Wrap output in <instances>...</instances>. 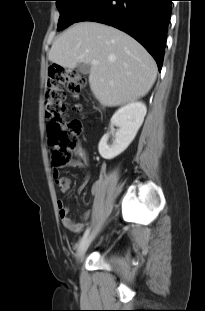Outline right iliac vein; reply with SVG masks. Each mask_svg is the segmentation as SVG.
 I'll use <instances>...</instances> for the list:
<instances>
[{
  "label": "right iliac vein",
  "instance_id": "63e3f726",
  "mask_svg": "<svg viewBox=\"0 0 205 311\" xmlns=\"http://www.w3.org/2000/svg\"><path fill=\"white\" fill-rule=\"evenodd\" d=\"M97 231H98V229L94 230L90 235H88L83 240H81V242L77 248V254H76L78 260H81L84 257V255H85L87 249L89 248L91 242L94 240V238L97 234Z\"/></svg>",
  "mask_w": 205,
  "mask_h": 311
}]
</instances>
